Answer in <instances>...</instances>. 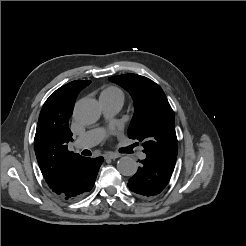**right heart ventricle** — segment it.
Instances as JSON below:
<instances>
[{
	"mask_svg": "<svg viewBox=\"0 0 246 246\" xmlns=\"http://www.w3.org/2000/svg\"><path fill=\"white\" fill-rule=\"evenodd\" d=\"M100 99L119 100L124 102L125 96L120 88L108 86L101 92Z\"/></svg>",
	"mask_w": 246,
	"mask_h": 246,
	"instance_id": "obj_1",
	"label": "right heart ventricle"
}]
</instances>
